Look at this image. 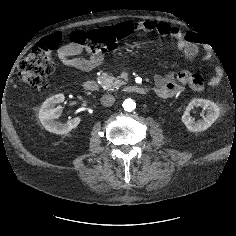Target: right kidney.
<instances>
[{"label":"right kidney","instance_id":"1","mask_svg":"<svg viewBox=\"0 0 236 236\" xmlns=\"http://www.w3.org/2000/svg\"><path fill=\"white\" fill-rule=\"evenodd\" d=\"M64 95L57 94L48 98L41 106L39 111V119L44 126V128L55 134H66L70 132L73 128L78 126L81 119L75 117L69 120L67 123L62 124L55 121L59 118L62 112L61 106L55 107L57 104L64 102Z\"/></svg>","mask_w":236,"mask_h":236}]
</instances>
